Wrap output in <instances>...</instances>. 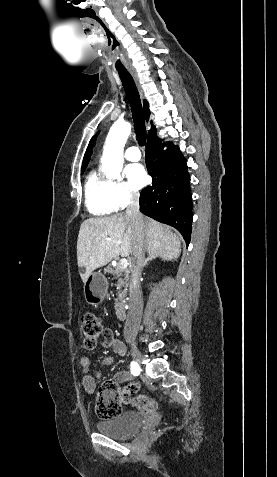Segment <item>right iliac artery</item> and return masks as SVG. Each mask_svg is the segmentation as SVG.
Here are the masks:
<instances>
[{
    "instance_id": "right-iliac-artery-1",
    "label": "right iliac artery",
    "mask_w": 277,
    "mask_h": 477,
    "mask_svg": "<svg viewBox=\"0 0 277 477\" xmlns=\"http://www.w3.org/2000/svg\"><path fill=\"white\" fill-rule=\"evenodd\" d=\"M139 370V365L136 362H131V372L136 374Z\"/></svg>"
}]
</instances>
